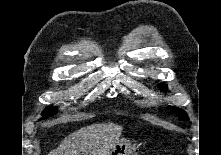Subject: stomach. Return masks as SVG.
Returning <instances> with one entry per match:
<instances>
[{
    "label": "stomach",
    "instance_id": "obj_1",
    "mask_svg": "<svg viewBox=\"0 0 221 155\" xmlns=\"http://www.w3.org/2000/svg\"><path fill=\"white\" fill-rule=\"evenodd\" d=\"M136 145L128 139H120L115 144L108 155H135Z\"/></svg>",
    "mask_w": 221,
    "mask_h": 155
}]
</instances>
